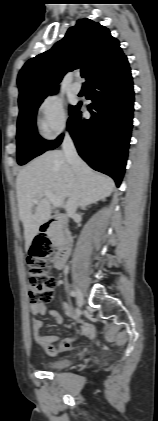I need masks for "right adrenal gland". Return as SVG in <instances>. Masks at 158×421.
<instances>
[{
    "label": "right adrenal gland",
    "mask_w": 158,
    "mask_h": 421,
    "mask_svg": "<svg viewBox=\"0 0 158 421\" xmlns=\"http://www.w3.org/2000/svg\"><path fill=\"white\" fill-rule=\"evenodd\" d=\"M82 209H85V206H82Z\"/></svg>",
    "instance_id": "right-adrenal-gland-1"
}]
</instances>
